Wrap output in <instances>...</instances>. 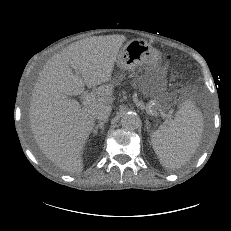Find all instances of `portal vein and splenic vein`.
Wrapping results in <instances>:
<instances>
[{
	"mask_svg": "<svg viewBox=\"0 0 231 231\" xmlns=\"http://www.w3.org/2000/svg\"><path fill=\"white\" fill-rule=\"evenodd\" d=\"M95 95L94 94H86L83 96V101H82V104L85 106V105H89L91 104L92 102L95 101ZM162 116L163 117H167L164 113H162Z\"/></svg>",
	"mask_w": 231,
	"mask_h": 231,
	"instance_id": "18ae733b",
	"label": "portal vein and splenic vein"
}]
</instances>
